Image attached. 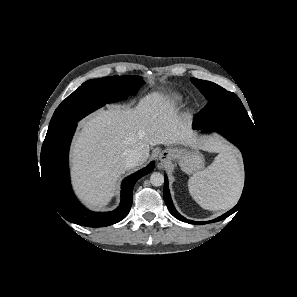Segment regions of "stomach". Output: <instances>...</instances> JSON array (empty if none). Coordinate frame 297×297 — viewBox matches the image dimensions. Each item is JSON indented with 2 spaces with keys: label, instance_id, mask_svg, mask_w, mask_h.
<instances>
[{
  "label": "stomach",
  "instance_id": "obj_1",
  "mask_svg": "<svg viewBox=\"0 0 297 297\" xmlns=\"http://www.w3.org/2000/svg\"><path fill=\"white\" fill-rule=\"evenodd\" d=\"M164 152L169 153L167 160L178 161L181 169L187 174L197 173L204 168V156L198 150L175 147L166 149Z\"/></svg>",
  "mask_w": 297,
  "mask_h": 297
}]
</instances>
